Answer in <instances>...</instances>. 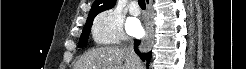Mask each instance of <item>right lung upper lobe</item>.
Returning <instances> with one entry per match:
<instances>
[{
    "label": "right lung upper lobe",
    "instance_id": "cb5924a9",
    "mask_svg": "<svg viewBox=\"0 0 246 69\" xmlns=\"http://www.w3.org/2000/svg\"><path fill=\"white\" fill-rule=\"evenodd\" d=\"M116 0H95L92 8L89 12L87 22L93 21L95 16L104 10H108L114 7Z\"/></svg>",
    "mask_w": 246,
    "mask_h": 69
}]
</instances>
